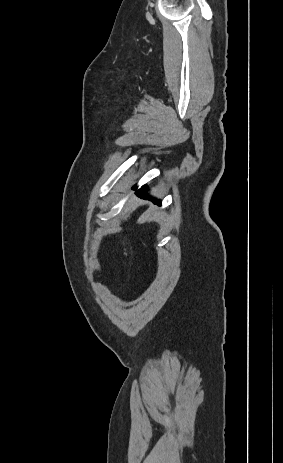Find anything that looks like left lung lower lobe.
Instances as JSON below:
<instances>
[{"label": "left lung lower lobe", "instance_id": "left-lung-lower-lobe-1", "mask_svg": "<svg viewBox=\"0 0 283 463\" xmlns=\"http://www.w3.org/2000/svg\"><path fill=\"white\" fill-rule=\"evenodd\" d=\"M138 195L141 196V197H146L147 193H146V188L143 186L140 190L137 191ZM155 203H157L158 205H160L159 202L157 201H154Z\"/></svg>", "mask_w": 283, "mask_h": 463}]
</instances>
